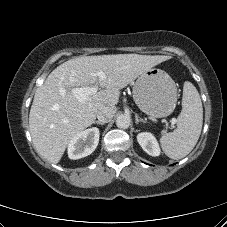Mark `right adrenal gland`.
<instances>
[{"label": "right adrenal gland", "mask_w": 227, "mask_h": 227, "mask_svg": "<svg viewBox=\"0 0 227 227\" xmlns=\"http://www.w3.org/2000/svg\"><path fill=\"white\" fill-rule=\"evenodd\" d=\"M93 123L98 124V125H104L105 124L104 122H101V121H94Z\"/></svg>", "instance_id": "1"}]
</instances>
